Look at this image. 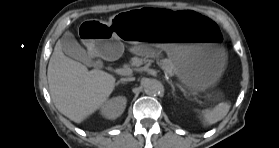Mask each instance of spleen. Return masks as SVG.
<instances>
[{
  "mask_svg": "<svg viewBox=\"0 0 279 148\" xmlns=\"http://www.w3.org/2000/svg\"><path fill=\"white\" fill-rule=\"evenodd\" d=\"M230 105L227 102H221L213 109L202 111L203 123L205 126L213 125L222 120L228 113Z\"/></svg>",
  "mask_w": 279,
  "mask_h": 148,
  "instance_id": "3e777b00",
  "label": "spleen"
}]
</instances>
